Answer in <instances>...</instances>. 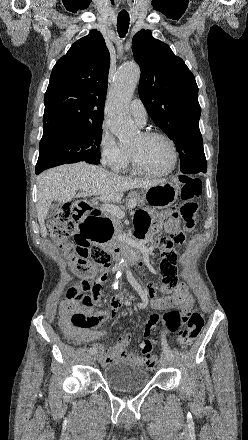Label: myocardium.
<instances>
[{
	"label": "myocardium",
	"mask_w": 248,
	"mask_h": 440,
	"mask_svg": "<svg viewBox=\"0 0 248 440\" xmlns=\"http://www.w3.org/2000/svg\"><path fill=\"white\" fill-rule=\"evenodd\" d=\"M142 136L145 138L158 137V138H162V139L166 140L172 148V153H173L172 163L169 166V168L166 169L165 171H162V172L149 171L142 166V164L140 163V161L138 159L136 152L130 148V159H131V165H132L133 170L141 175L148 176V177H165V176L171 174L174 171V169L176 168V165H177L178 159H179V151H178V147H177L175 141L168 134L161 132V131H145L142 133Z\"/></svg>",
	"instance_id": "f54148a6"
}]
</instances>
